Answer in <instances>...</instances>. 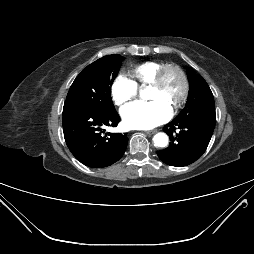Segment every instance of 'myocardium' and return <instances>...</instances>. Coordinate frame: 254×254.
<instances>
[{"instance_id":"1","label":"myocardium","mask_w":254,"mask_h":254,"mask_svg":"<svg viewBox=\"0 0 254 254\" xmlns=\"http://www.w3.org/2000/svg\"><path fill=\"white\" fill-rule=\"evenodd\" d=\"M168 71H173V72L177 73L178 76L180 77V80H181V93H180L178 100L176 101V103L174 104V106L172 108V112L174 113L179 108H181L183 106V104L187 100L188 93H189L188 78H187L185 72L183 71V69L175 64H165L158 69V71L155 74L154 79L151 81V83L149 85H150V87H153V88L161 87L163 84L164 75Z\"/></svg>"}]
</instances>
